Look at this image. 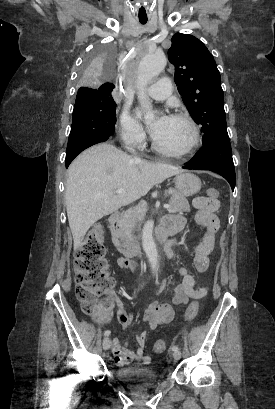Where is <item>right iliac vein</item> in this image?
Wrapping results in <instances>:
<instances>
[{
    "instance_id": "right-iliac-vein-1",
    "label": "right iliac vein",
    "mask_w": 275,
    "mask_h": 409,
    "mask_svg": "<svg viewBox=\"0 0 275 409\" xmlns=\"http://www.w3.org/2000/svg\"><path fill=\"white\" fill-rule=\"evenodd\" d=\"M110 345H111V339L109 337H105L103 339V349L108 350L110 348Z\"/></svg>"
}]
</instances>
